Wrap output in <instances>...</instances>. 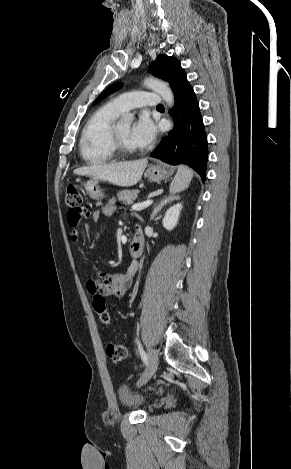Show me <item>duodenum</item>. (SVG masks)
Wrapping results in <instances>:
<instances>
[{"label": "duodenum", "mask_w": 291, "mask_h": 469, "mask_svg": "<svg viewBox=\"0 0 291 469\" xmlns=\"http://www.w3.org/2000/svg\"><path fill=\"white\" fill-rule=\"evenodd\" d=\"M144 244L145 241L143 232L139 227H137L134 237L129 245V251L133 258H139L142 255L144 250Z\"/></svg>", "instance_id": "obj_1"}]
</instances>
